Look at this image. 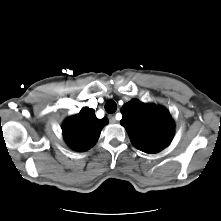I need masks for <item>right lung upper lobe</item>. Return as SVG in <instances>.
<instances>
[{
    "mask_svg": "<svg viewBox=\"0 0 221 221\" xmlns=\"http://www.w3.org/2000/svg\"><path fill=\"white\" fill-rule=\"evenodd\" d=\"M107 123L106 118L97 119L94 110L85 107L65 120L63 137L73 150L86 151L97 142L101 129Z\"/></svg>",
    "mask_w": 221,
    "mask_h": 221,
    "instance_id": "cb5924a9",
    "label": "right lung upper lobe"
}]
</instances>
